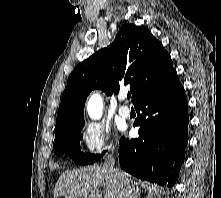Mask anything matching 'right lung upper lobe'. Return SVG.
Wrapping results in <instances>:
<instances>
[{
	"instance_id": "right-lung-upper-lobe-1",
	"label": "right lung upper lobe",
	"mask_w": 221,
	"mask_h": 198,
	"mask_svg": "<svg viewBox=\"0 0 221 198\" xmlns=\"http://www.w3.org/2000/svg\"><path fill=\"white\" fill-rule=\"evenodd\" d=\"M172 71L170 55L148 29L123 25L112 44L79 63L70 74L57 112L55 136L84 125V105L92 90L112 95L121 85L130 84L135 105Z\"/></svg>"
}]
</instances>
